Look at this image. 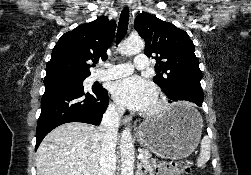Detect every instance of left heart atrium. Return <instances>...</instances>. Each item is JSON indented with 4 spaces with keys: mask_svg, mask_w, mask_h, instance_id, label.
<instances>
[{
    "mask_svg": "<svg viewBox=\"0 0 251 175\" xmlns=\"http://www.w3.org/2000/svg\"><path fill=\"white\" fill-rule=\"evenodd\" d=\"M111 91L120 105L140 111H150L157 102L154 85L136 75L114 82Z\"/></svg>",
    "mask_w": 251,
    "mask_h": 175,
    "instance_id": "obj_1",
    "label": "left heart atrium"
}]
</instances>
